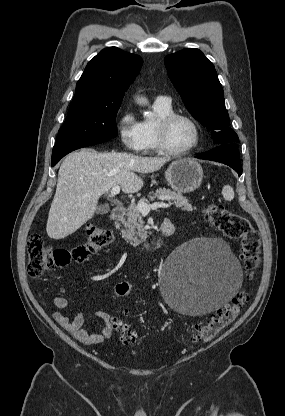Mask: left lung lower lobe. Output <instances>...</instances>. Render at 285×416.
<instances>
[{
	"label": "left lung lower lobe",
	"instance_id": "left-lung-lower-lobe-1",
	"mask_svg": "<svg viewBox=\"0 0 285 416\" xmlns=\"http://www.w3.org/2000/svg\"><path fill=\"white\" fill-rule=\"evenodd\" d=\"M199 159L221 162L233 168L239 176L242 174V166L239 158V150L236 143H229L197 156Z\"/></svg>",
	"mask_w": 285,
	"mask_h": 416
}]
</instances>
